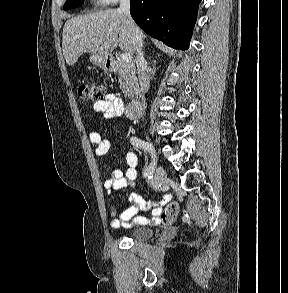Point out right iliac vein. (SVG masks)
<instances>
[{"mask_svg":"<svg viewBox=\"0 0 288 293\" xmlns=\"http://www.w3.org/2000/svg\"><path fill=\"white\" fill-rule=\"evenodd\" d=\"M166 178H167V176H166V172H165L164 168L162 166H158L157 169L155 170V175H154V180H153L154 185L158 186V185L163 184L165 182Z\"/></svg>","mask_w":288,"mask_h":293,"instance_id":"right-iliac-vein-1","label":"right iliac vein"}]
</instances>
